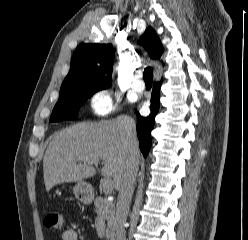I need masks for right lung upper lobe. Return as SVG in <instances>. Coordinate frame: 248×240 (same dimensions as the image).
<instances>
[{
	"instance_id": "cb5924a9",
	"label": "right lung upper lobe",
	"mask_w": 248,
	"mask_h": 240,
	"mask_svg": "<svg viewBox=\"0 0 248 240\" xmlns=\"http://www.w3.org/2000/svg\"><path fill=\"white\" fill-rule=\"evenodd\" d=\"M140 42L153 59H160L164 49L151 27L146 29ZM113 59L111 44L81 43L73 54L60 92L69 88H107L111 83Z\"/></svg>"
}]
</instances>
